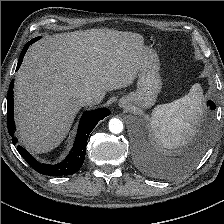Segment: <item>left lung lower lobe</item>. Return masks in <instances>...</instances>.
I'll use <instances>...</instances> for the list:
<instances>
[{"label": "left lung lower lobe", "mask_w": 224, "mask_h": 224, "mask_svg": "<svg viewBox=\"0 0 224 224\" xmlns=\"http://www.w3.org/2000/svg\"><path fill=\"white\" fill-rule=\"evenodd\" d=\"M208 103H209V106H210L211 110H214L216 108V106H215L213 101L209 100Z\"/></svg>", "instance_id": "left-lung-lower-lobe-1"}]
</instances>
